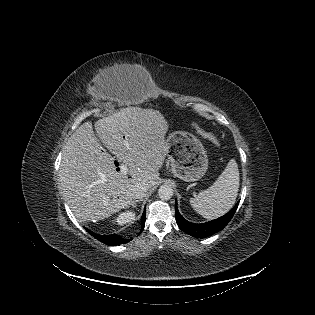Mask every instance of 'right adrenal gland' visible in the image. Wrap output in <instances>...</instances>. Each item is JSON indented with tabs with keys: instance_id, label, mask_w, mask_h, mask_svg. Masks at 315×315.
Returning a JSON list of instances; mask_svg holds the SVG:
<instances>
[{
	"instance_id": "right-adrenal-gland-1",
	"label": "right adrenal gland",
	"mask_w": 315,
	"mask_h": 315,
	"mask_svg": "<svg viewBox=\"0 0 315 315\" xmlns=\"http://www.w3.org/2000/svg\"><path fill=\"white\" fill-rule=\"evenodd\" d=\"M139 201H140V200H133V201H130L127 206H132V208H135V207H136V203L139 202Z\"/></svg>"
}]
</instances>
